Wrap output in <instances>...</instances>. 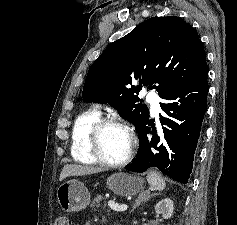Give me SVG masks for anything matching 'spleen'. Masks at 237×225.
Wrapping results in <instances>:
<instances>
[{
	"mask_svg": "<svg viewBox=\"0 0 237 225\" xmlns=\"http://www.w3.org/2000/svg\"><path fill=\"white\" fill-rule=\"evenodd\" d=\"M147 181L151 188L155 190H163L166 186L164 179L155 171L148 173Z\"/></svg>",
	"mask_w": 237,
	"mask_h": 225,
	"instance_id": "3e777b00",
	"label": "spleen"
}]
</instances>
